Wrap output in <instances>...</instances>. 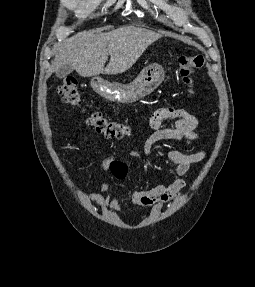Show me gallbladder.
<instances>
[{
    "mask_svg": "<svg viewBox=\"0 0 255 287\" xmlns=\"http://www.w3.org/2000/svg\"><path fill=\"white\" fill-rule=\"evenodd\" d=\"M73 70L74 68H72V66H61V68H57L55 74L57 78H66Z\"/></svg>",
    "mask_w": 255,
    "mask_h": 287,
    "instance_id": "1",
    "label": "gallbladder"
}]
</instances>
